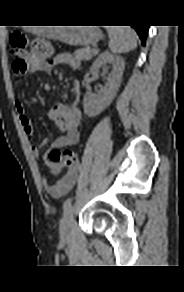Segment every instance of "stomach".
Segmentation results:
<instances>
[{
  "mask_svg": "<svg viewBox=\"0 0 184 292\" xmlns=\"http://www.w3.org/2000/svg\"><path fill=\"white\" fill-rule=\"evenodd\" d=\"M49 38L69 45L87 46L102 39V32L97 27H61L47 35Z\"/></svg>",
  "mask_w": 184,
  "mask_h": 292,
  "instance_id": "1",
  "label": "stomach"
}]
</instances>
